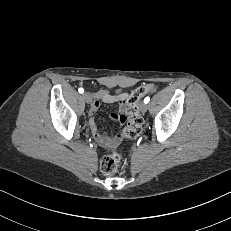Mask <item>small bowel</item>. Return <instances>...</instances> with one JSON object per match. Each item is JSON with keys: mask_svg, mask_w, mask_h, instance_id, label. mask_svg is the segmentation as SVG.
Listing matches in <instances>:
<instances>
[{"mask_svg": "<svg viewBox=\"0 0 231 231\" xmlns=\"http://www.w3.org/2000/svg\"><path fill=\"white\" fill-rule=\"evenodd\" d=\"M128 96L129 95L126 92L112 93L109 90H100L93 94L94 101L89 110V127L95 140L101 146L115 147L120 143L122 136L120 133H117L115 135H109L107 133H102L99 131L95 115L101 103L103 102L107 104H118L119 109L111 113V118L117 121L119 124H123L125 123L123 119V114L126 110Z\"/></svg>", "mask_w": 231, "mask_h": 231, "instance_id": "1", "label": "small bowel"}]
</instances>
